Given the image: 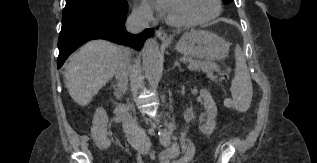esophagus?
Segmentation results:
<instances>
[{
	"label": "esophagus",
	"instance_id": "34e87169",
	"mask_svg": "<svg viewBox=\"0 0 317 163\" xmlns=\"http://www.w3.org/2000/svg\"><path fill=\"white\" fill-rule=\"evenodd\" d=\"M155 34H156V37L161 41L166 42L170 40L168 37V34L163 30H156Z\"/></svg>",
	"mask_w": 317,
	"mask_h": 163
}]
</instances>
